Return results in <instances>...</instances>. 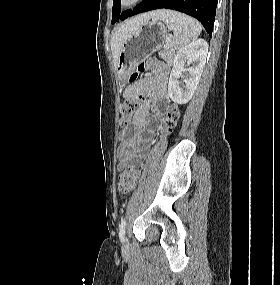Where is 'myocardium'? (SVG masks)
Returning <instances> with one entry per match:
<instances>
[{
  "label": "myocardium",
  "mask_w": 280,
  "mask_h": 285,
  "mask_svg": "<svg viewBox=\"0 0 280 285\" xmlns=\"http://www.w3.org/2000/svg\"><path fill=\"white\" fill-rule=\"evenodd\" d=\"M142 0H118L117 1V6L121 10H126L134 7L137 5L139 2Z\"/></svg>",
  "instance_id": "f54148a6"
}]
</instances>
